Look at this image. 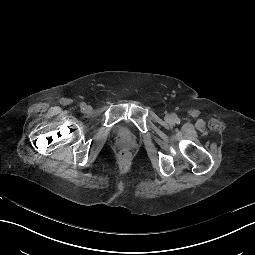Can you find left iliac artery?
<instances>
[{
  "label": "left iliac artery",
  "mask_w": 255,
  "mask_h": 255,
  "mask_svg": "<svg viewBox=\"0 0 255 255\" xmlns=\"http://www.w3.org/2000/svg\"><path fill=\"white\" fill-rule=\"evenodd\" d=\"M175 122H176V123H180V119H179V118H176V119H175Z\"/></svg>",
  "instance_id": "1"
}]
</instances>
